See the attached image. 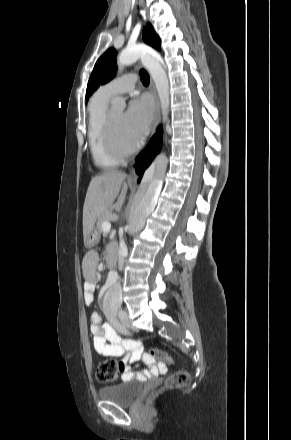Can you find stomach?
I'll list each match as a JSON object with an SVG mask.
<instances>
[{
  "mask_svg": "<svg viewBox=\"0 0 291 440\" xmlns=\"http://www.w3.org/2000/svg\"><path fill=\"white\" fill-rule=\"evenodd\" d=\"M98 239H99V234L97 233V231H92L85 239V245L87 247H92L97 243Z\"/></svg>",
  "mask_w": 291,
  "mask_h": 440,
  "instance_id": "0dacf381",
  "label": "stomach"
}]
</instances>
